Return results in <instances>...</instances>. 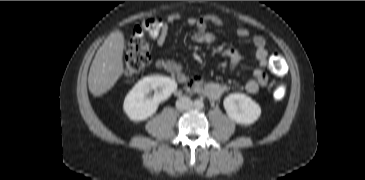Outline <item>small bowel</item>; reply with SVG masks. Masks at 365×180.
Here are the masks:
<instances>
[{
    "instance_id": "1",
    "label": "small bowel",
    "mask_w": 365,
    "mask_h": 180,
    "mask_svg": "<svg viewBox=\"0 0 365 180\" xmlns=\"http://www.w3.org/2000/svg\"><path fill=\"white\" fill-rule=\"evenodd\" d=\"M177 21H185L187 24L196 27L193 39L200 43H210L216 38V35L208 28L209 24H213L217 27H222L224 25L223 20L216 15H208L205 17L196 18L191 16L185 17L179 13H174L167 17L166 23L164 24L161 32L155 37L158 46H163L166 42L168 24ZM235 35L238 38L245 39L249 37L250 32L246 28H238L235 30ZM252 43L255 49L254 56L257 66L253 70V78L244 83L243 89L249 94H256L261 89V87L267 83L268 80L265 71L267 66L268 51L266 48V41L262 36H254ZM225 55L229 59L232 69H236L243 60L241 54L234 48H227L225 50ZM156 66L160 69L174 73L176 75L177 81L184 84L187 92L202 94L210 100L220 99L229 90V86L224 83L206 82L200 78L190 80L184 73L181 64L173 60L158 59L156 61Z\"/></svg>"
}]
</instances>
